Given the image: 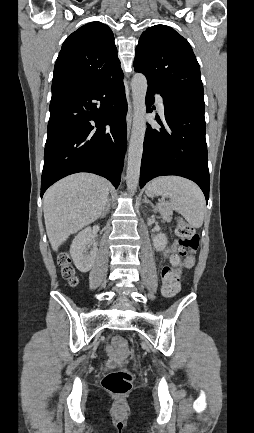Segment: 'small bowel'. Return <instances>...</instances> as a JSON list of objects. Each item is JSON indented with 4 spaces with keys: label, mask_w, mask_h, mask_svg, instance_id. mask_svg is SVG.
I'll use <instances>...</instances> for the list:
<instances>
[{
    "label": "small bowel",
    "mask_w": 254,
    "mask_h": 433,
    "mask_svg": "<svg viewBox=\"0 0 254 433\" xmlns=\"http://www.w3.org/2000/svg\"><path fill=\"white\" fill-rule=\"evenodd\" d=\"M176 250H177V245H176L175 243H172V244H170L169 247L166 249V251H165V255H166L167 257L173 256V255L175 254ZM194 262H195V259H194L193 256L188 257V258L186 259V261H185V267H186V268H192L193 265H194ZM178 271L181 272V270H178ZM163 289H164V286H163L162 290H163Z\"/></svg>",
    "instance_id": "1"
}]
</instances>
